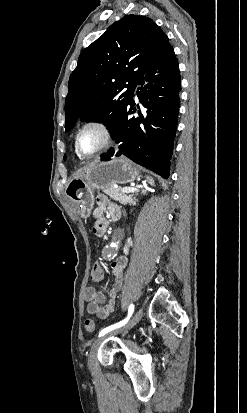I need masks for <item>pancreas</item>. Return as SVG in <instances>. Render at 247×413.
Wrapping results in <instances>:
<instances>
[{
    "label": "pancreas",
    "mask_w": 247,
    "mask_h": 413,
    "mask_svg": "<svg viewBox=\"0 0 247 413\" xmlns=\"http://www.w3.org/2000/svg\"><path fill=\"white\" fill-rule=\"evenodd\" d=\"M103 192L109 194L110 198L119 200L121 204H136V198L135 196H133V194H124V192H120L119 188L108 186V188H103Z\"/></svg>",
    "instance_id": "1"
}]
</instances>
